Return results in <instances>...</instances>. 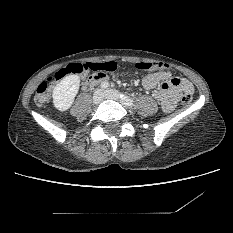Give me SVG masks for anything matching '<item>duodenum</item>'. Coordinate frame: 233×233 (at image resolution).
<instances>
[{"label":"duodenum","mask_w":233,"mask_h":233,"mask_svg":"<svg viewBox=\"0 0 233 233\" xmlns=\"http://www.w3.org/2000/svg\"><path fill=\"white\" fill-rule=\"evenodd\" d=\"M106 80H107V76L105 74L96 73L84 81V87L90 88V87L96 86V85H98Z\"/></svg>","instance_id":"obj_1"}]
</instances>
